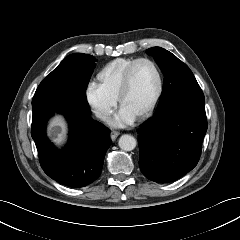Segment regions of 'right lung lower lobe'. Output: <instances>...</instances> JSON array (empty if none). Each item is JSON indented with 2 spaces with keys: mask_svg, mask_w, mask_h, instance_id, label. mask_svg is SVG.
<instances>
[{
  "mask_svg": "<svg viewBox=\"0 0 240 240\" xmlns=\"http://www.w3.org/2000/svg\"><path fill=\"white\" fill-rule=\"evenodd\" d=\"M31 135L40 164L53 180L68 187L81 188L100 175L104 157L111 145L110 131L91 118L89 108L44 102L32 106ZM62 113L69 123V140L64 149H57L46 136V124L55 113Z\"/></svg>",
  "mask_w": 240,
  "mask_h": 240,
  "instance_id": "obj_1",
  "label": "right lung lower lobe"
}]
</instances>
